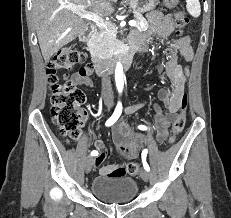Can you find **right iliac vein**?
I'll return each instance as SVG.
<instances>
[{
  "label": "right iliac vein",
  "mask_w": 231,
  "mask_h": 218,
  "mask_svg": "<svg viewBox=\"0 0 231 218\" xmlns=\"http://www.w3.org/2000/svg\"><path fill=\"white\" fill-rule=\"evenodd\" d=\"M94 158L92 156H88L85 160V171L86 173H89L91 171V168L93 166Z\"/></svg>",
  "instance_id": "right-iliac-vein-1"
}]
</instances>
